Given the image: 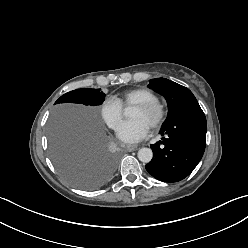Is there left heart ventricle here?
I'll list each match as a JSON object with an SVG mask.
<instances>
[{
    "label": "left heart ventricle",
    "mask_w": 248,
    "mask_h": 248,
    "mask_svg": "<svg viewBox=\"0 0 248 248\" xmlns=\"http://www.w3.org/2000/svg\"><path fill=\"white\" fill-rule=\"evenodd\" d=\"M130 119H141L143 122H145L148 126L150 125L151 121L154 118V112H144L137 108H132L130 115Z\"/></svg>",
    "instance_id": "b2bd125f"
}]
</instances>
